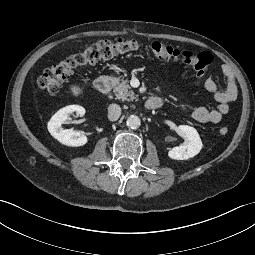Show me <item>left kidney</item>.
<instances>
[{"mask_svg": "<svg viewBox=\"0 0 255 255\" xmlns=\"http://www.w3.org/2000/svg\"><path fill=\"white\" fill-rule=\"evenodd\" d=\"M178 131L184 137L186 143L169 150L168 156L175 160H187L196 156L203 146L197 130L188 125H180Z\"/></svg>", "mask_w": 255, "mask_h": 255, "instance_id": "1", "label": "left kidney"}]
</instances>
